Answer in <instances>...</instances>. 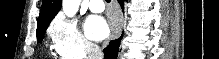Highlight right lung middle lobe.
Wrapping results in <instances>:
<instances>
[{
  "label": "right lung middle lobe",
  "mask_w": 219,
  "mask_h": 59,
  "mask_svg": "<svg viewBox=\"0 0 219 59\" xmlns=\"http://www.w3.org/2000/svg\"><path fill=\"white\" fill-rule=\"evenodd\" d=\"M47 27L48 26H43V27L37 29L36 36H37V40L39 42H42Z\"/></svg>",
  "instance_id": "right-lung-middle-lobe-1"
}]
</instances>
